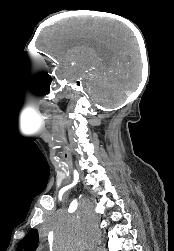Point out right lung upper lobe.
<instances>
[{
    "label": "right lung upper lobe",
    "mask_w": 174,
    "mask_h": 251,
    "mask_svg": "<svg viewBox=\"0 0 174 251\" xmlns=\"http://www.w3.org/2000/svg\"><path fill=\"white\" fill-rule=\"evenodd\" d=\"M38 231L32 229L28 234L19 242L17 251H35L38 244Z\"/></svg>",
    "instance_id": "cb5924a9"
}]
</instances>
